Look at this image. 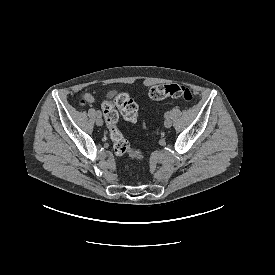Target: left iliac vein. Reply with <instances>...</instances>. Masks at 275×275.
<instances>
[{"instance_id": "1", "label": "left iliac vein", "mask_w": 275, "mask_h": 275, "mask_svg": "<svg viewBox=\"0 0 275 275\" xmlns=\"http://www.w3.org/2000/svg\"><path fill=\"white\" fill-rule=\"evenodd\" d=\"M164 126H165L166 128H170V127L172 126V121H171L170 119H166V120L164 121Z\"/></svg>"}]
</instances>
